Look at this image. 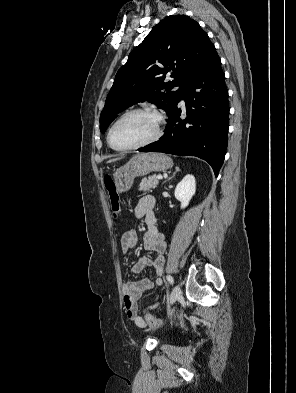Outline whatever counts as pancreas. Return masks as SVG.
<instances>
[{
  "instance_id": "1",
  "label": "pancreas",
  "mask_w": 296,
  "mask_h": 393,
  "mask_svg": "<svg viewBox=\"0 0 296 393\" xmlns=\"http://www.w3.org/2000/svg\"><path fill=\"white\" fill-rule=\"evenodd\" d=\"M159 184V180L155 175L142 179L141 183L139 184V191H149L150 189H154Z\"/></svg>"
}]
</instances>
